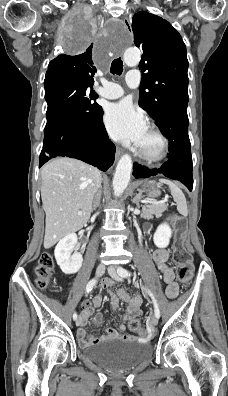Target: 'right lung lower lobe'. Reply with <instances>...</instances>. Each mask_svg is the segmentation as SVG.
I'll use <instances>...</instances> for the list:
<instances>
[{
  "instance_id": "obj_1",
  "label": "right lung lower lobe",
  "mask_w": 228,
  "mask_h": 396,
  "mask_svg": "<svg viewBox=\"0 0 228 396\" xmlns=\"http://www.w3.org/2000/svg\"><path fill=\"white\" fill-rule=\"evenodd\" d=\"M102 115L101 108L92 121L59 118L47 123L39 167L55 157H71L106 171L114 162L115 146Z\"/></svg>"
}]
</instances>
